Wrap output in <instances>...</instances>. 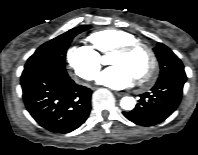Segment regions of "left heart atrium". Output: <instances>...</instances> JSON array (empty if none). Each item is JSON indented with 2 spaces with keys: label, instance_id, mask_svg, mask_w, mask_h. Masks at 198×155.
Here are the masks:
<instances>
[{
  "label": "left heart atrium",
  "instance_id": "obj_1",
  "mask_svg": "<svg viewBox=\"0 0 198 155\" xmlns=\"http://www.w3.org/2000/svg\"><path fill=\"white\" fill-rule=\"evenodd\" d=\"M135 81L133 74L125 67L113 65L104 70L97 78V82L103 86L120 90L131 86Z\"/></svg>",
  "mask_w": 198,
  "mask_h": 155
}]
</instances>
